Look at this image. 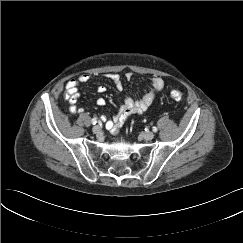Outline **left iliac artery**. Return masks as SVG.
Segmentation results:
<instances>
[{
    "label": "left iliac artery",
    "instance_id": "left-iliac-artery-1",
    "mask_svg": "<svg viewBox=\"0 0 243 243\" xmlns=\"http://www.w3.org/2000/svg\"><path fill=\"white\" fill-rule=\"evenodd\" d=\"M152 130H153V132H157L158 131L157 127H153Z\"/></svg>",
    "mask_w": 243,
    "mask_h": 243
}]
</instances>
